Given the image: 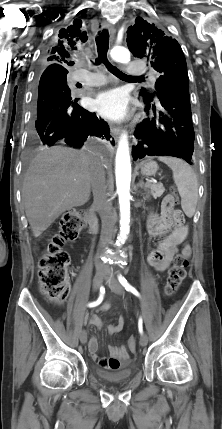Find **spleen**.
<instances>
[{
	"instance_id": "3e777b00",
	"label": "spleen",
	"mask_w": 222,
	"mask_h": 429,
	"mask_svg": "<svg viewBox=\"0 0 222 429\" xmlns=\"http://www.w3.org/2000/svg\"><path fill=\"white\" fill-rule=\"evenodd\" d=\"M159 161L165 163L173 172V179L181 196V207L187 217L191 218L198 201V181L193 169L183 160L160 156Z\"/></svg>"
}]
</instances>
